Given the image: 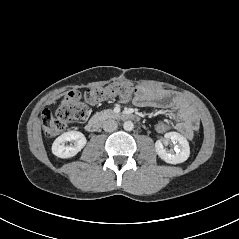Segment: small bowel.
<instances>
[{
	"label": "small bowel",
	"instance_id": "c3829d8e",
	"mask_svg": "<svg viewBox=\"0 0 239 239\" xmlns=\"http://www.w3.org/2000/svg\"><path fill=\"white\" fill-rule=\"evenodd\" d=\"M127 98L123 97L122 101ZM138 107H154L169 109L175 121L173 129L185 138H192L198 130L200 121L192 107L182 98L172 92L155 87H142L134 98Z\"/></svg>",
	"mask_w": 239,
	"mask_h": 239
}]
</instances>
